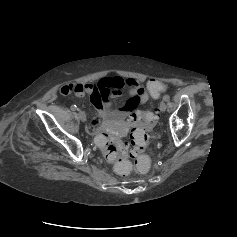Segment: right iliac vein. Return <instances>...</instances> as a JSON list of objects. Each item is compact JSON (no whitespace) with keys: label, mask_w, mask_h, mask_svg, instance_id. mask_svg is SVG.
I'll list each match as a JSON object with an SVG mask.
<instances>
[{"label":"right iliac vein","mask_w":237,"mask_h":237,"mask_svg":"<svg viewBox=\"0 0 237 237\" xmlns=\"http://www.w3.org/2000/svg\"><path fill=\"white\" fill-rule=\"evenodd\" d=\"M78 116H79V119L82 121V122H85L86 121V115L84 112L80 111L78 113Z\"/></svg>","instance_id":"obj_1"}]
</instances>
